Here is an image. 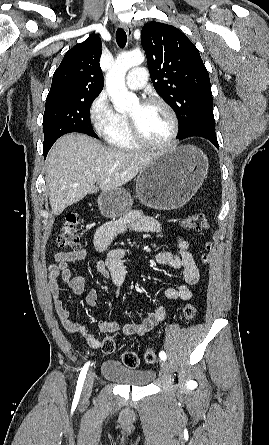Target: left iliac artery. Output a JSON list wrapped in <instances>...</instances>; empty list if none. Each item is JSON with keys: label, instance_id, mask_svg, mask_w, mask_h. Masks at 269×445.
<instances>
[{"label": "left iliac artery", "instance_id": "obj_1", "mask_svg": "<svg viewBox=\"0 0 269 445\" xmlns=\"http://www.w3.org/2000/svg\"><path fill=\"white\" fill-rule=\"evenodd\" d=\"M159 357H160L161 360H166V358H167L166 353L164 351H161L159 353Z\"/></svg>", "mask_w": 269, "mask_h": 445}]
</instances>
